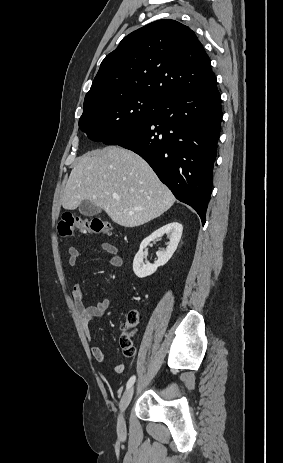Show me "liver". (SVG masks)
<instances>
[{
  "instance_id": "6515ba94",
  "label": "liver",
  "mask_w": 283,
  "mask_h": 463,
  "mask_svg": "<svg viewBox=\"0 0 283 463\" xmlns=\"http://www.w3.org/2000/svg\"><path fill=\"white\" fill-rule=\"evenodd\" d=\"M86 200L103 209L115 223L137 227L161 216L175 197L144 159L112 146L87 152L70 173L63 208L74 210Z\"/></svg>"
}]
</instances>
